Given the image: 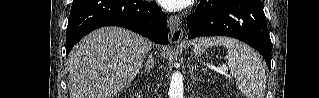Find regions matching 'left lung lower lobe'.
<instances>
[{
  "label": "left lung lower lobe",
  "mask_w": 319,
  "mask_h": 98,
  "mask_svg": "<svg viewBox=\"0 0 319 98\" xmlns=\"http://www.w3.org/2000/svg\"><path fill=\"white\" fill-rule=\"evenodd\" d=\"M188 38L229 36L255 48L271 70V40L261 0H200L187 16Z\"/></svg>",
  "instance_id": "left-lung-lower-lobe-1"
}]
</instances>
